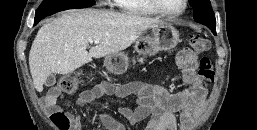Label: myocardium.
<instances>
[{
  "mask_svg": "<svg viewBox=\"0 0 257 130\" xmlns=\"http://www.w3.org/2000/svg\"><path fill=\"white\" fill-rule=\"evenodd\" d=\"M148 1H149L150 5L159 14H162L164 16L171 17V18H175V17H178V16L182 15L186 11V9L188 7V2H189L188 0H184L183 7H182V9L180 11L176 12V13H171V12H168L165 9H163L158 0H148Z\"/></svg>",
  "mask_w": 257,
  "mask_h": 130,
  "instance_id": "f54148a6",
  "label": "myocardium"
}]
</instances>
